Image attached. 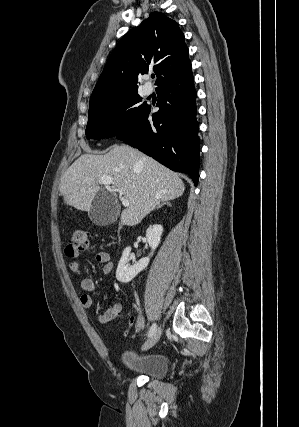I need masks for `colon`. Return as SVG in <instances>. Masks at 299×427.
Masks as SVG:
<instances>
[{"mask_svg": "<svg viewBox=\"0 0 299 427\" xmlns=\"http://www.w3.org/2000/svg\"><path fill=\"white\" fill-rule=\"evenodd\" d=\"M88 232L85 229H76L72 232L66 247V254L75 257L88 248Z\"/></svg>", "mask_w": 299, "mask_h": 427, "instance_id": "1", "label": "colon"}]
</instances>
